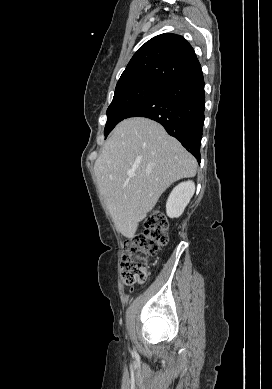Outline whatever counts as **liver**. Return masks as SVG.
<instances>
[{"instance_id":"1","label":"liver","mask_w":272,"mask_h":389,"mask_svg":"<svg viewBox=\"0 0 272 389\" xmlns=\"http://www.w3.org/2000/svg\"><path fill=\"white\" fill-rule=\"evenodd\" d=\"M94 172L116 229L131 239L172 183L196 175L197 161L159 123L133 117L114 128Z\"/></svg>"}]
</instances>
